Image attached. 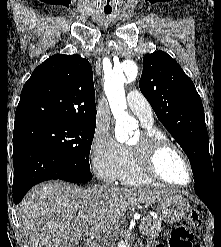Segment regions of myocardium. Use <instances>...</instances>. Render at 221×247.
<instances>
[{"mask_svg":"<svg viewBox=\"0 0 221 247\" xmlns=\"http://www.w3.org/2000/svg\"><path fill=\"white\" fill-rule=\"evenodd\" d=\"M129 148L142 171L156 182L173 188H186L193 183L194 172L189 158L176 143L167 137L144 131L140 134L138 141L130 144ZM167 150L175 151L183 159L189 173V180L186 184H176L162 176L158 167V159L161 153Z\"/></svg>","mask_w":221,"mask_h":247,"instance_id":"1","label":"myocardium"}]
</instances>
